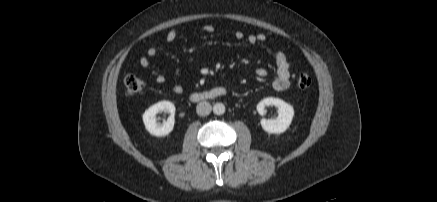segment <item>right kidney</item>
Returning <instances> with one entry per match:
<instances>
[{
  "label": "right kidney",
  "instance_id": "ca27d5eb",
  "mask_svg": "<svg viewBox=\"0 0 437 202\" xmlns=\"http://www.w3.org/2000/svg\"><path fill=\"white\" fill-rule=\"evenodd\" d=\"M161 112L170 113V117L162 124L156 120V115ZM175 106L170 101H161L150 106L143 114L146 130L154 136H166L174 128Z\"/></svg>",
  "mask_w": 437,
  "mask_h": 202
}]
</instances>
